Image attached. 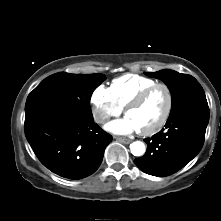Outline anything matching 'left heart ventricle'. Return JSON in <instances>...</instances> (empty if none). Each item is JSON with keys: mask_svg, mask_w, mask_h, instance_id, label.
<instances>
[{"mask_svg": "<svg viewBox=\"0 0 221 221\" xmlns=\"http://www.w3.org/2000/svg\"><path fill=\"white\" fill-rule=\"evenodd\" d=\"M166 107L167 93L163 88H157L141 105L131 109L127 117L136 124L139 130H146L161 120Z\"/></svg>", "mask_w": 221, "mask_h": 221, "instance_id": "obj_1", "label": "left heart ventricle"}]
</instances>
